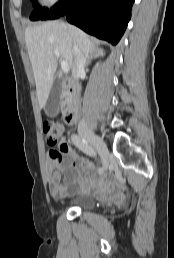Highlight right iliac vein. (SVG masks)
<instances>
[{
  "mask_svg": "<svg viewBox=\"0 0 174 258\" xmlns=\"http://www.w3.org/2000/svg\"><path fill=\"white\" fill-rule=\"evenodd\" d=\"M84 136L87 140H89L94 145V147L96 148V150L98 151L101 157L103 167L107 168L109 165V151L106 144L103 142V140L100 137H98L92 131L87 132Z\"/></svg>",
  "mask_w": 174,
  "mask_h": 258,
  "instance_id": "right-iliac-vein-1",
  "label": "right iliac vein"
}]
</instances>
